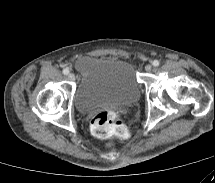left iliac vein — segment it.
Instances as JSON below:
<instances>
[{"mask_svg":"<svg viewBox=\"0 0 215 183\" xmlns=\"http://www.w3.org/2000/svg\"><path fill=\"white\" fill-rule=\"evenodd\" d=\"M145 70H146L147 72H150V71L152 70V65H151V64H147V65L145 66Z\"/></svg>","mask_w":215,"mask_h":183,"instance_id":"1","label":"left iliac vein"}]
</instances>
